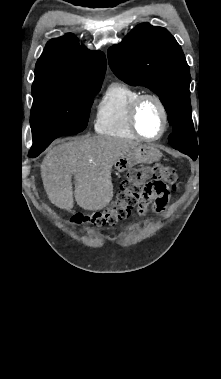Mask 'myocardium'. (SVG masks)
<instances>
[{
  "mask_svg": "<svg viewBox=\"0 0 221 379\" xmlns=\"http://www.w3.org/2000/svg\"><path fill=\"white\" fill-rule=\"evenodd\" d=\"M147 100H153L156 102V104L159 106L161 114H162V128L161 131L158 135L154 137H147L145 136L139 129L138 127V122H137V117H138V112L141 107V105L147 101ZM129 123L132 131L135 133V135L145 141H156L160 139L165 132L167 131L168 128V123H169V117H168V111L167 108L163 102V100L156 94L153 93H144L139 95L131 104L130 109H129Z\"/></svg>",
  "mask_w": 221,
  "mask_h": 379,
  "instance_id": "1",
  "label": "myocardium"
}]
</instances>
